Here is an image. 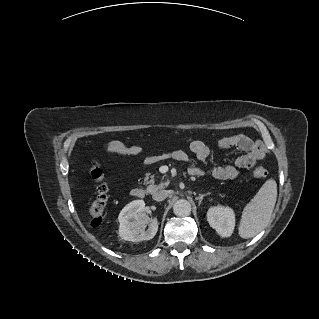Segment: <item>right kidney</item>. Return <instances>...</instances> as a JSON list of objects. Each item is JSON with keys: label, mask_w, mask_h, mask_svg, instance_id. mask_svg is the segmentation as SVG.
Returning <instances> with one entry per match:
<instances>
[{"label": "right kidney", "mask_w": 319, "mask_h": 319, "mask_svg": "<svg viewBox=\"0 0 319 319\" xmlns=\"http://www.w3.org/2000/svg\"><path fill=\"white\" fill-rule=\"evenodd\" d=\"M145 202L134 200L127 204L118 216L119 236L123 240L139 242L152 239L158 230V221L143 214ZM147 225L149 226L147 229Z\"/></svg>", "instance_id": "ca27d5eb"}]
</instances>
